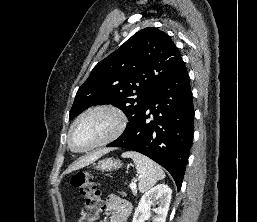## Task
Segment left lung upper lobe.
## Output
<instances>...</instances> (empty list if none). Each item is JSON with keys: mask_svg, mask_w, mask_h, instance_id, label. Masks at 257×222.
Segmentation results:
<instances>
[{"mask_svg": "<svg viewBox=\"0 0 257 222\" xmlns=\"http://www.w3.org/2000/svg\"><path fill=\"white\" fill-rule=\"evenodd\" d=\"M181 62L169 35L154 27L140 30L93 68L77 91L69 119L91 106L112 104L125 113L130 127Z\"/></svg>", "mask_w": 257, "mask_h": 222, "instance_id": "1", "label": "left lung upper lobe"}]
</instances>
